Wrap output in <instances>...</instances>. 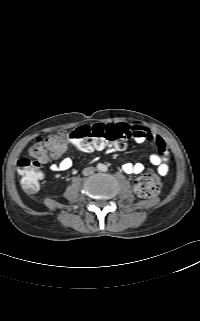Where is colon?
Returning a JSON list of instances; mask_svg holds the SVG:
<instances>
[{"label":"colon","mask_w":200,"mask_h":321,"mask_svg":"<svg viewBox=\"0 0 200 321\" xmlns=\"http://www.w3.org/2000/svg\"><path fill=\"white\" fill-rule=\"evenodd\" d=\"M131 137L132 134L126 126L113 127L102 124L83 125L69 133L59 132L39 137L30 148V157L20 158L17 162L21 185L26 192L35 193L42 179L41 165L58 154L67 142L84 151L99 150L107 145L124 149ZM161 188L160 179L153 173L138 177L134 183V190L141 198H153L159 194Z\"/></svg>","instance_id":"1"}]
</instances>
